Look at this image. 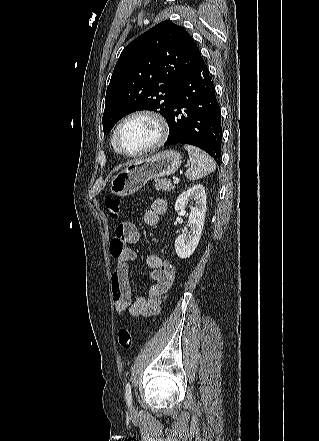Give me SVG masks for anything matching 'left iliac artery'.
Here are the masks:
<instances>
[{
	"label": "left iliac artery",
	"mask_w": 319,
	"mask_h": 441,
	"mask_svg": "<svg viewBox=\"0 0 319 441\" xmlns=\"http://www.w3.org/2000/svg\"><path fill=\"white\" fill-rule=\"evenodd\" d=\"M125 398H126L127 405L129 407L132 406V393H131V386L129 383L126 384Z\"/></svg>",
	"instance_id": "left-iliac-artery-1"
}]
</instances>
